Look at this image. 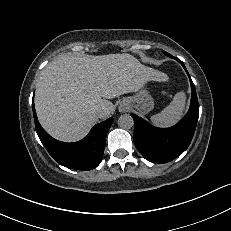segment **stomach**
Returning <instances> with one entry per match:
<instances>
[{
    "label": "stomach",
    "mask_w": 231,
    "mask_h": 231,
    "mask_svg": "<svg viewBox=\"0 0 231 231\" xmlns=\"http://www.w3.org/2000/svg\"><path fill=\"white\" fill-rule=\"evenodd\" d=\"M124 103H127L130 109L136 110L141 114L150 112L154 108V101L150 95L147 82L134 95L124 98L120 108H122Z\"/></svg>",
    "instance_id": "stomach-1"
}]
</instances>
